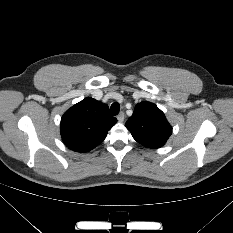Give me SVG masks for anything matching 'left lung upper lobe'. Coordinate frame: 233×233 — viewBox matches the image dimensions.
I'll list each match as a JSON object with an SVG mask.
<instances>
[{
	"mask_svg": "<svg viewBox=\"0 0 233 233\" xmlns=\"http://www.w3.org/2000/svg\"><path fill=\"white\" fill-rule=\"evenodd\" d=\"M125 125L138 143L151 149L163 146L172 133L164 113L155 104L146 101L136 105Z\"/></svg>",
	"mask_w": 233,
	"mask_h": 233,
	"instance_id": "obj_1",
	"label": "left lung upper lobe"
}]
</instances>
